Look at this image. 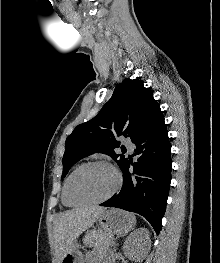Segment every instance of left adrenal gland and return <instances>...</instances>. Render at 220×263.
<instances>
[{
	"instance_id": "a2214340",
	"label": "left adrenal gland",
	"mask_w": 220,
	"mask_h": 263,
	"mask_svg": "<svg viewBox=\"0 0 220 263\" xmlns=\"http://www.w3.org/2000/svg\"><path fill=\"white\" fill-rule=\"evenodd\" d=\"M113 246H114V249H115V241L113 242Z\"/></svg>"
}]
</instances>
